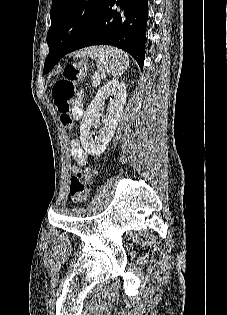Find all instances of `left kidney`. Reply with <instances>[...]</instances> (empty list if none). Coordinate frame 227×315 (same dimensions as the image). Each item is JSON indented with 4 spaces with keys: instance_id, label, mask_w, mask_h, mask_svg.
<instances>
[{
    "instance_id": "obj_1",
    "label": "left kidney",
    "mask_w": 227,
    "mask_h": 315,
    "mask_svg": "<svg viewBox=\"0 0 227 315\" xmlns=\"http://www.w3.org/2000/svg\"><path fill=\"white\" fill-rule=\"evenodd\" d=\"M127 99L126 86L123 82L112 80L107 82L96 94L91 105L86 111L80 125V140L83 148L92 156L102 154L120 121ZM109 100L107 114L104 117V126L99 135L94 137L91 128L99 117L100 111Z\"/></svg>"
}]
</instances>
